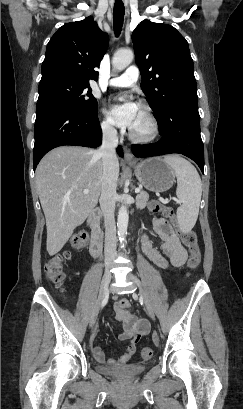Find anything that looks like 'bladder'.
Instances as JSON below:
<instances>
[{"mask_svg": "<svg viewBox=\"0 0 243 409\" xmlns=\"http://www.w3.org/2000/svg\"><path fill=\"white\" fill-rule=\"evenodd\" d=\"M146 364H123L119 366L97 365V371L106 376H111L120 380L134 379L145 372Z\"/></svg>", "mask_w": 243, "mask_h": 409, "instance_id": "31cf9c89", "label": "bladder"}]
</instances>
